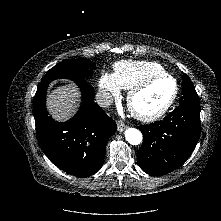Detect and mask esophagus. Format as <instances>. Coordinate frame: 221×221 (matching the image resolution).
<instances>
[{"instance_id":"obj_1","label":"esophagus","mask_w":221,"mask_h":221,"mask_svg":"<svg viewBox=\"0 0 221 221\" xmlns=\"http://www.w3.org/2000/svg\"><path fill=\"white\" fill-rule=\"evenodd\" d=\"M117 128L119 132H122L127 128V125L123 121L120 120L117 122Z\"/></svg>"}]
</instances>
